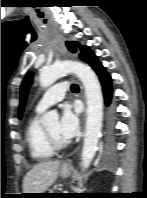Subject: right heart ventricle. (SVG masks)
<instances>
[{"mask_svg":"<svg viewBox=\"0 0 147 198\" xmlns=\"http://www.w3.org/2000/svg\"><path fill=\"white\" fill-rule=\"evenodd\" d=\"M41 111L35 112L28 120L25 129V139L30 156L37 162H43L53 157L54 151L48 145L44 127L40 123Z\"/></svg>","mask_w":147,"mask_h":198,"instance_id":"e07e8e85","label":"right heart ventricle"}]
</instances>
